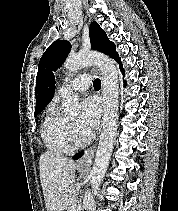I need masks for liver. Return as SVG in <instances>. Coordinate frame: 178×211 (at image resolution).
Wrapping results in <instances>:
<instances>
[{
    "mask_svg": "<svg viewBox=\"0 0 178 211\" xmlns=\"http://www.w3.org/2000/svg\"><path fill=\"white\" fill-rule=\"evenodd\" d=\"M47 211H65L75 191L76 165L70 158L45 152L39 158Z\"/></svg>",
    "mask_w": 178,
    "mask_h": 211,
    "instance_id": "obj_1",
    "label": "liver"
}]
</instances>
